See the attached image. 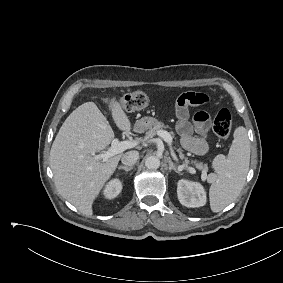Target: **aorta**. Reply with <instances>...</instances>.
<instances>
[{
	"mask_svg": "<svg viewBox=\"0 0 283 283\" xmlns=\"http://www.w3.org/2000/svg\"><path fill=\"white\" fill-rule=\"evenodd\" d=\"M145 166L148 169H157L160 166V160L156 156H150L145 160Z\"/></svg>",
	"mask_w": 283,
	"mask_h": 283,
	"instance_id": "aorta-1",
	"label": "aorta"
}]
</instances>
